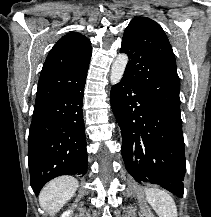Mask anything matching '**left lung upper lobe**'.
<instances>
[{"instance_id":"obj_1","label":"left lung upper lobe","mask_w":211,"mask_h":217,"mask_svg":"<svg viewBox=\"0 0 211 217\" xmlns=\"http://www.w3.org/2000/svg\"><path fill=\"white\" fill-rule=\"evenodd\" d=\"M120 52L130 59L124 77L162 108L180 116L175 55L162 27L150 18L134 17L125 29Z\"/></svg>"}]
</instances>
